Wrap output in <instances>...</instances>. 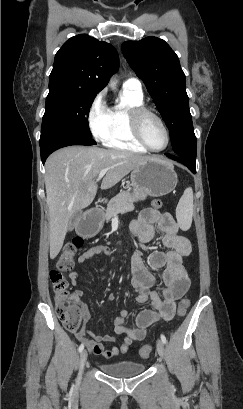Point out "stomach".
I'll return each instance as SVG.
<instances>
[{"mask_svg":"<svg viewBox=\"0 0 243 409\" xmlns=\"http://www.w3.org/2000/svg\"><path fill=\"white\" fill-rule=\"evenodd\" d=\"M130 178L131 187L137 200H145L148 196H164L170 193L178 182L173 165L158 158H152L134 168ZM101 228L102 222H97L89 235H95Z\"/></svg>","mask_w":243,"mask_h":409,"instance_id":"stomach-1","label":"stomach"}]
</instances>
